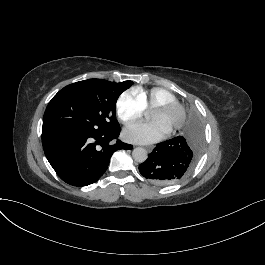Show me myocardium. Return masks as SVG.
<instances>
[{
    "label": "myocardium",
    "mask_w": 265,
    "mask_h": 265,
    "mask_svg": "<svg viewBox=\"0 0 265 265\" xmlns=\"http://www.w3.org/2000/svg\"><path fill=\"white\" fill-rule=\"evenodd\" d=\"M174 107L178 109L179 113H178L177 118L171 123L170 127L168 128L170 132L178 130L184 125L185 120H186L185 107L176 100H167V101H163L159 103L153 108V110L155 111H166Z\"/></svg>",
    "instance_id": "obj_1"
}]
</instances>
